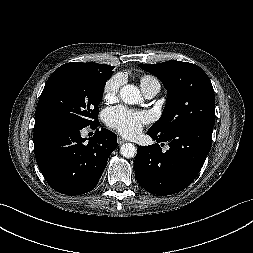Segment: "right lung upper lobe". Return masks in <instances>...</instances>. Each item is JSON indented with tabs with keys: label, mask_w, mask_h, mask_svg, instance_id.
I'll return each mask as SVG.
<instances>
[{
	"label": "right lung upper lobe",
	"mask_w": 253,
	"mask_h": 253,
	"mask_svg": "<svg viewBox=\"0 0 253 253\" xmlns=\"http://www.w3.org/2000/svg\"><path fill=\"white\" fill-rule=\"evenodd\" d=\"M71 63H78L86 66H94L104 71L113 70V66L106 65V64H97V63H82V62H71ZM113 73V71H111Z\"/></svg>",
	"instance_id": "obj_1"
}]
</instances>
